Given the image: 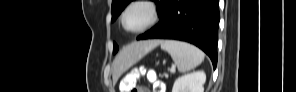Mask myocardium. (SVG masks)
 Listing matches in <instances>:
<instances>
[{
  "instance_id": "obj_1",
  "label": "myocardium",
  "mask_w": 296,
  "mask_h": 92,
  "mask_svg": "<svg viewBox=\"0 0 296 92\" xmlns=\"http://www.w3.org/2000/svg\"><path fill=\"white\" fill-rule=\"evenodd\" d=\"M135 6H143V7L147 8L150 13V18L144 26H142L138 29H128L126 27L125 17H126V14L128 13V11L132 7H135ZM158 19H159V11H158L157 6L153 2L143 1V0L133 1L124 9V11L121 15V25L126 32L132 33V34H138V33H143L145 31H147L148 29H150L151 27H153L157 23Z\"/></svg>"
}]
</instances>
